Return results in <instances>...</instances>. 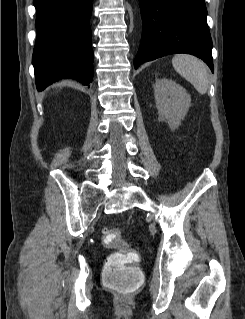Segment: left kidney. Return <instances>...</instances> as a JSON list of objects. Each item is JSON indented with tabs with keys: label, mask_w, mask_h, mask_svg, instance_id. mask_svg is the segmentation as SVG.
<instances>
[{
	"label": "left kidney",
	"mask_w": 245,
	"mask_h": 319,
	"mask_svg": "<svg viewBox=\"0 0 245 319\" xmlns=\"http://www.w3.org/2000/svg\"><path fill=\"white\" fill-rule=\"evenodd\" d=\"M154 97L159 115L171 129L177 128L191 105V97L181 85L171 79H158Z\"/></svg>",
	"instance_id": "obj_1"
}]
</instances>
